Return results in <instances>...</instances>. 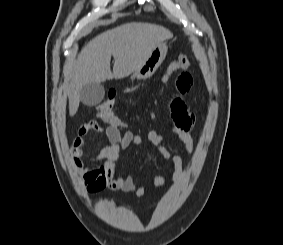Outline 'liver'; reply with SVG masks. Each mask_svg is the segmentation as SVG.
I'll return each mask as SVG.
<instances>
[{
  "instance_id": "liver-1",
  "label": "liver",
  "mask_w": 283,
  "mask_h": 245,
  "mask_svg": "<svg viewBox=\"0 0 283 245\" xmlns=\"http://www.w3.org/2000/svg\"><path fill=\"white\" fill-rule=\"evenodd\" d=\"M172 35L162 26L133 22L93 38L82 48L69 75L65 92L69 99L70 116H74L78 110L80 91L84 85L130 75L159 43L170 39ZM111 56L114 57L113 73L110 69Z\"/></svg>"
}]
</instances>
